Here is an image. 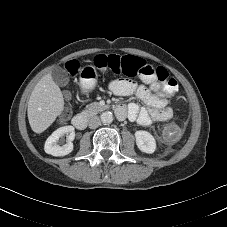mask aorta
<instances>
[{"label": "aorta", "mask_w": 227, "mask_h": 227, "mask_svg": "<svg viewBox=\"0 0 227 227\" xmlns=\"http://www.w3.org/2000/svg\"><path fill=\"white\" fill-rule=\"evenodd\" d=\"M100 118H101V121L105 124H110L113 121V115L109 111L103 112Z\"/></svg>", "instance_id": "1"}]
</instances>
